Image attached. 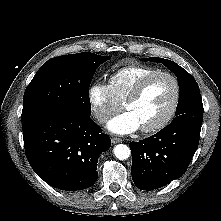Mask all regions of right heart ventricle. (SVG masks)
Here are the masks:
<instances>
[{"instance_id": "1", "label": "right heart ventricle", "mask_w": 221, "mask_h": 221, "mask_svg": "<svg viewBox=\"0 0 221 221\" xmlns=\"http://www.w3.org/2000/svg\"><path fill=\"white\" fill-rule=\"evenodd\" d=\"M157 71L146 65L132 64L116 69L109 76L108 86L118 102H123L144 76Z\"/></svg>"}]
</instances>
